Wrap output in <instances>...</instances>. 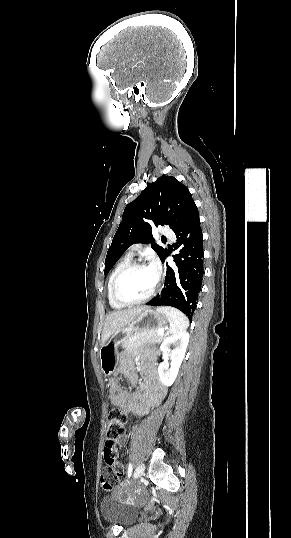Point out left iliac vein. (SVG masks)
<instances>
[{"instance_id": "4c4485c4", "label": "left iliac vein", "mask_w": 291, "mask_h": 538, "mask_svg": "<svg viewBox=\"0 0 291 538\" xmlns=\"http://www.w3.org/2000/svg\"><path fill=\"white\" fill-rule=\"evenodd\" d=\"M144 471H145V465L141 462V463H139L138 466L136 467V470H135V477H136V478H140L141 476H143Z\"/></svg>"}]
</instances>
